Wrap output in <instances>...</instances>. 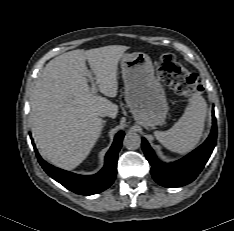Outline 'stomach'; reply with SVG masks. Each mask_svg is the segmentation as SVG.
Wrapping results in <instances>:
<instances>
[{"label": "stomach", "mask_w": 234, "mask_h": 231, "mask_svg": "<svg viewBox=\"0 0 234 231\" xmlns=\"http://www.w3.org/2000/svg\"><path fill=\"white\" fill-rule=\"evenodd\" d=\"M125 100L135 121L144 127L160 125L168 114L163 86L154 75L151 58L142 52L121 57Z\"/></svg>", "instance_id": "stomach-1"}]
</instances>
